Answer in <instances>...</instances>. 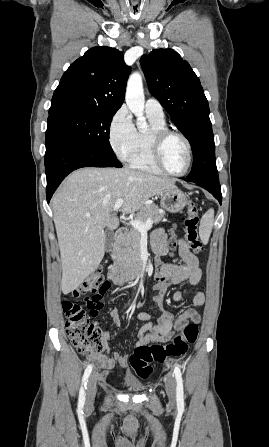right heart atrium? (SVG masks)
Masks as SVG:
<instances>
[{"label":"right heart atrium","mask_w":269,"mask_h":447,"mask_svg":"<svg viewBox=\"0 0 269 447\" xmlns=\"http://www.w3.org/2000/svg\"><path fill=\"white\" fill-rule=\"evenodd\" d=\"M136 129L126 106L120 107L112 116L108 127V142L121 160H127L134 146Z\"/></svg>","instance_id":"right-heart-atrium-1"}]
</instances>
